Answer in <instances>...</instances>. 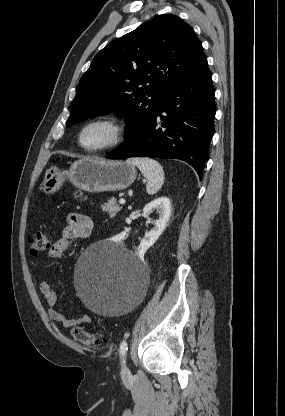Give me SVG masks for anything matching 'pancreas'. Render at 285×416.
I'll return each instance as SVG.
<instances>
[{"label":"pancreas","mask_w":285,"mask_h":416,"mask_svg":"<svg viewBox=\"0 0 285 416\" xmlns=\"http://www.w3.org/2000/svg\"><path fill=\"white\" fill-rule=\"evenodd\" d=\"M101 208L103 212H108L110 218H115L117 212L122 210V206H118L116 198H111V200H108L107 204H103Z\"/></svg>","instance_id":"1"}]
</instances>
